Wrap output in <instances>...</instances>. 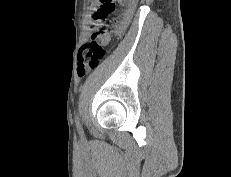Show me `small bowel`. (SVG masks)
Returning <instances> with one entry per match:
<instances>
[{
  "label": "small bowel",
  "instance_id": "obj_1",
  "mask_svg": "<svg viewBox=\"0 0 231 177\" xmlns=\"http://www.w3.org/2000/svg\"><path fill=\"white\" fill-rule=\"evenodd\" d=\"M93 11L96 10V7H93L92 8ZM93 14V13H92ZM92 14H89L87 17H86V23H91L92 21ZM127 25H128V20H127V16H126V20L122 21L117 29H116V32L118 35H121L122 33H124L125 29L127 28Z\"/></svg>",
  "mask_w": 231,
  "mask_h": 177
}]
</instances>
